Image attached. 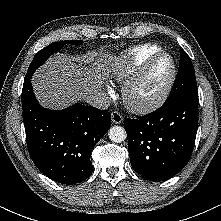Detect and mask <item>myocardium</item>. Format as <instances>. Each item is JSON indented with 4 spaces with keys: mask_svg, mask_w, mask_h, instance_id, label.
Masks as SVG:
<instances>
[{
    "mask_svg": "<svg viewBox=\"0 0 221 221\" xmlns=\"http://www.w3.org/2000/svg\"><path fill=\"white\" fill-rule=\"evenodd\" d=\"M162 57H169L172 63L170 76L161 91L152 99L144 102L132 100L131 93L137 83L148 73L153 64ZM178 67L174 57L165 51H159L148 60L130 77L122 86V100L133 112L145 114L158 109L168 98L177 78Z\"/></svg>",
    "mask_w": 221,
    "mask_h": 221,
    "instance_id": "myocardium-1",
    "label": "myocardium"
}]
</instances>
